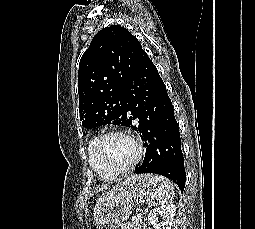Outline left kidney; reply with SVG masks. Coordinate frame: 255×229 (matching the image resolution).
I'll list each match as a JSON object with an SVG mask.
<instances>
[{"mask_svg":"<svg viewBox=\"0 0 255 229\" xmlns=\"http://www.w3.org/2000/svg\"><path fill=\"white\" fill-rule=\"evenodd\" d=\"M175 214L176 206L174 204L162 205L150 211L148 222L154 229H171Z\"/></svg>","mask_w":255,"mask_h":229,"instance_id":"left-kidney-1","label":"left kidney"}]
</instances>
